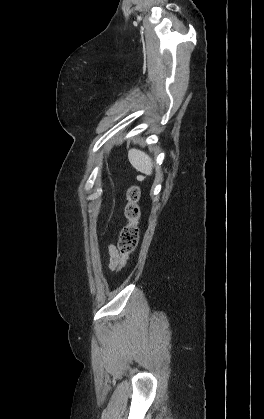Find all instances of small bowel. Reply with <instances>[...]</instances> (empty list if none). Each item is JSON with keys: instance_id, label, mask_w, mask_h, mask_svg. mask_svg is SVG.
I'll return each instance as SVG.
<instances>
[{"instance_id": "c3829d8e", "label": "small bowel", "mask_w": 264, "mask_h": 419, "mask_svg": "<svg viewBox=\"0 0 264 419\" xmlns=\"http://www.w3.org/2000/svg\"><path fill=\"white\" fill-rule=\"evenodd\" d=\"M107 257H108V266L110 269L114 270L119 267L120 265V253L118 252L117 248L110 244L107 248Z\"/></svg>"}]
</instances>
